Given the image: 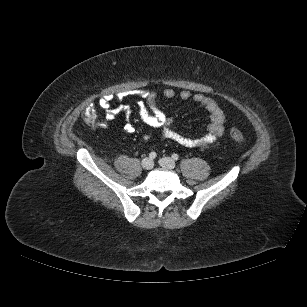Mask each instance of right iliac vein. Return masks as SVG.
<instances>
[{"label":"right iliac vein","mask_w":307,"mask_h":307,"mask_svg":"<svg viewBox=\"0 0 307 307\" xmlns=\"http://www.w3.org/2000/svg\"><path fill=\"white\" fill-rule=\"evenodd\" d=\"M143 169L150 170L154 166V162L150 158H144L141 163Z\"/></svg>","instance_id":"63e3f726"}]
</instances>
